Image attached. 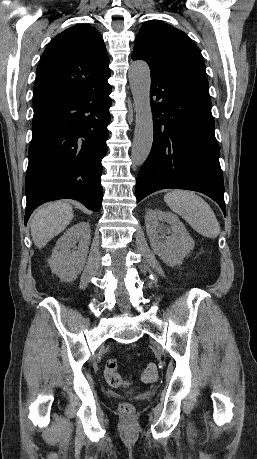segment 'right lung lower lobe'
Listing matches in <instances>:
<instances>
[{
  "instance_id": "1",
  "label": "right lung lower lobe",
  "mask_w": 257,
  "mask_h": 459,
  "mask_svg": "<svg viewBox=\"0 0 257 459\" xmlns=\"http://www.w3.org/2000/svg\"><path fill=\"white\" fill-rule=\"evenodd\" d=\"M111 86L33 107L32 140L25 180V225L44 202L70 198L98 211L101 160L107 152Z\"/></svg>"
}]
</instances>
